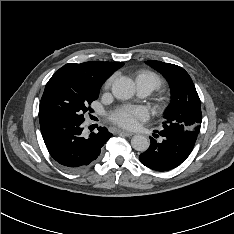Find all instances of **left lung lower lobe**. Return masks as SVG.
I'll list each match as a JSON object with an SVG mask.
<instances>
[{
    "mask_svg": "<svg viewBox=\"0 0 234 234\" xmlns=\"http://www.w3.org/2000/svg\"><path fill=\"white\" fill-rule=\"evenodd\" d=\"M158 132V131H155ZM162 137L161 142L155 138H150V147L139 156L140 162L148 168L157 171H167L176 168L183 163L193 150L194 144L176 133L162 130L159 132Z\"/></svg>",
    "mask_w": 234,
    "mask_h": 234,
    "instance_id": "0a47b994",
    "label": "left lung lower lobe"
}]
</instances>
